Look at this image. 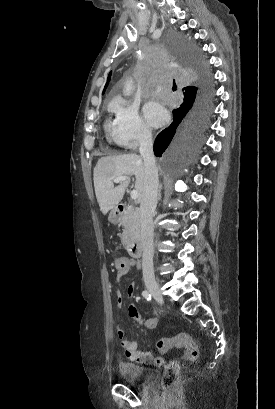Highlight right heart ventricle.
Returning a JSON list of instances; mask_svg holds the SVG:
<instances>
[{
    "mask_svg": "<svg viewBox=\"0 0 275 409\" xmlns=\"http://www.w3.org/2000/svg\"><path fill=\"white\" fill-rule=\"evenodd\" d=\"M105 132L110 142L117 144V145L121 144V140H120L115 123L106 122Z\"/></svg>",
    "mask_w": 275,
    "mask_h": 409,
    "instance_id": "obj_1",
    "label": "right heart ventricle"
}]
</instances>
